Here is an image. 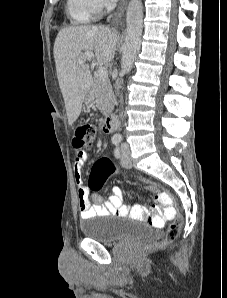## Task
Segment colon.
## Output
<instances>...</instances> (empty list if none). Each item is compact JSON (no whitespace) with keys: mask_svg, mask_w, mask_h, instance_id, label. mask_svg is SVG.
<instances>
[{"mask_svg":"<svg viewBox=\"0 0 227 298\" xmlns=\"http://www.w3.org/2000/svg\"><path fill=\"white\" fill-rule=\"evenodd\" d=\"M97 130L93 124H82L76 127L72 144L75 149L76 146H81L82 150H89L96 138ZM89 142V147H84L83 143ZM76 151V150H75ZM114 172L112 162L103 158L98 160L92 167L89 176V187L91 190L98 191L102 188L108 177ZM144 190H150L155 193V204L153 206L155 214L149 217V222L155 227H162L166 219L170 220L165 235L159 241L145 246V250H151L156 247L165 246L172 243L180 234L183 225L182 215L173 207L171 196L161 191L158 183L149 181L147 185L143 186Z\"/></svg>","mask_w":227,"mask_h":298,"instance_id":"1","label":"colon"}]
</instances>
